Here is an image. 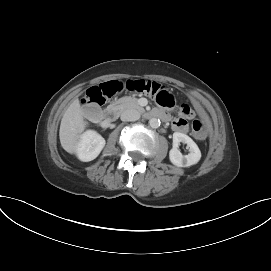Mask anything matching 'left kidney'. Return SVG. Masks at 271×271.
I'll list each match as a JSON object with an SVG mask.
<instances>
[{"mask_svg": "<svg viewBox=\"0 0 271 271\" xmlns=\"http://www.w3.org/2000/svg\"><path fill=\"white\" fill-rule=\"evenodd\" d=\"M180 142L187 144L190 152L188 155H182L178 149ZM169 159L177 167H188L199 162L201 151L188 135L175 132L173 133V147L169 152Z\"/></svg>", "mask_w": 271, "mask_h": 271, "instance_id": "1", "label": "left kidney"}]
</instances>
